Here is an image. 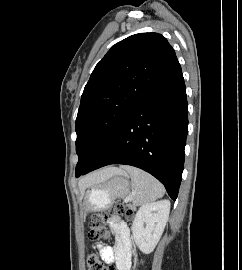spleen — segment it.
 I'll return each instance as SVG.
<instances>
[{
  "label": "spleen",
  "instance_id": "1",
  "mask_svg": "<svg viewBox=\"0 0 242 270\" xmlns=\"http://www.w3.org/2000/svg\"><path fill=\"white\" fill-rule=\"evenodd\" d=\"M131 178L133 188L132 202L136 206L145 205L162 198L164 195L163 185L150 174L132 166L123 168Z\"/></svg>",
  "mask_w": 242,
  "mask_h": 270
}]
</instances>
